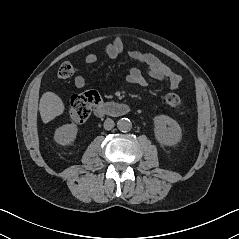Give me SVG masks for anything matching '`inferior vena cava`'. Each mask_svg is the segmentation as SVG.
I'll use <instances>...</instances> for the list:
<instances>
[{"instance_id":"602c4592","label":"inferior vena cava","mask_w":239,"mask_h":239,"mask_svg":"<svg viewBox=\"0 0 239 239\" xmlns=\"http://www.w3.org/2000/svg\"><path fill=\"white\" fill-rule=\"evenodd\" d=\"M115 123L111 118H107L104 121V129L105 130H111L114 127Z\"/></svg>"}]
</instances>
